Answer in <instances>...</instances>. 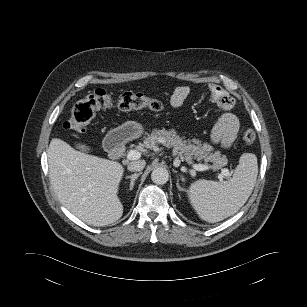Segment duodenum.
<instances>
[{"mask_svg":"<svg viewBox=\"0 0 307 307\" xmlns=\"http://www.w3.org/2000/svg\"><path fill=\"white\" fill-rule=\"evenodd\" d=\"M106 146L112 159H119L123 155L125 150L122 136L120 134H115L109 137L106 142Z\"/></svg>","mask_w":307,"mask_h":307,"instance_id":"410a0bca","label":"duodenum"}]
</instances>
